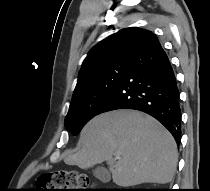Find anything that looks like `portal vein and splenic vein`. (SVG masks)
Returning <instances> with one entry per match:
<instances>
[{"mask_svg":"<svg viewBox=\"0 0 210 191\" xmlns=\"http://www.w3.org/2000/svg\"><path fill=\"white\" fill-rule=\"evenodd\" d=\"M115 157H116V159H119L120 158V154L119 153H116L115 154Z\"/></svg>","mask_w":210,"mask_h":191,"instance_id":"obj_1","label":"portal vein and splenic vein"}]
</instances>
